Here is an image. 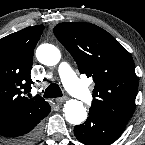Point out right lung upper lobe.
Returning <instances> with one entry per match:
<instances>
[{"mask_svg":"<svg viewBox=\"0 0 145 145\" xmlns=\"http://www.w3.org/2000/svg\"><path fill=\"white\" fill-rule=\"evenodd\" d=\"M43 25L27 27L0 39V125L15 124L45 105L39 96L28 99L34 48Z\"/></svg>","mask_w":145,"mask_h":145,"instance_id":"cb5924a9","label":"right lung upper lobe"}]
</instances>
